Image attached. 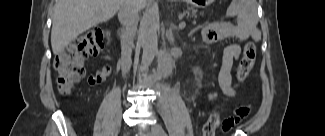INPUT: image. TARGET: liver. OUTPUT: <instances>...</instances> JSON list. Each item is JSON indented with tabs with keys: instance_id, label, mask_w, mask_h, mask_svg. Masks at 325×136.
<instances>
[{
	"instance_id": "obj_1",
	"label": "liver",
	"mask_w": 325,
	"mask_h": 136,
	"mask_svg": "<svg viewBox=\"0 0 325 136\" xmlns=\"http://www.w3.org/2000/svg\"><path fill=\"white\" fill-rule=\"evenodd\" d=\"M122 1L58 0L51 31L53 53L57 55L80 34L114 17Z\"/></svg>"
}]
</instances>
